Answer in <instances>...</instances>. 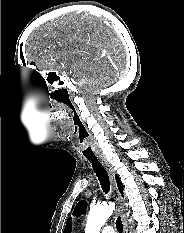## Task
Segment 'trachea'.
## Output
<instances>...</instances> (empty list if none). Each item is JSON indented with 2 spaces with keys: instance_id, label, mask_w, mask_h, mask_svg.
<instances>
[{
  "instance_id": "obj_1",
  "label": "trachea",
  "mask_w": 184,
  "mask_h": 233,
  "mask_svg": "<svg viewBox=\"0 0 184 233\" xmlns=\"http://www.w3.org/2000/svg\"><path fill=\"white\" fill-rule=\"evenodd\" d=\"M78 140L84 157L92 164L93 170L98 177L102 190L107 194L110 190L109 176L105 168L96 157L94 149L89 143V132L83 125L79 127ZM116 228L119 233L123 232V224L120 217H117Z\"/></svg>"
}]
</instances>
